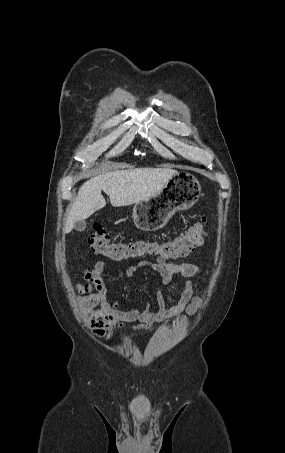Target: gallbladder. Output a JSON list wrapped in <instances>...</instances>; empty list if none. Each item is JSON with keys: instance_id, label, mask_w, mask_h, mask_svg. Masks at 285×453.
<instances>
[{"instance_id": "1", "label": "gallbladder", "mask_w": 285, "mask_h": 453, "mask_svg": "<svg viewBox=\"0 0 285 453\" xmlns=\"http://www.w3.org/2000/svg\"><path fill=\"white\" fill-rule=\"evenodd\" d=\"M85 228H86V221L85 220L76 221L74 223V229L76 231H83V230H85Z\"/></svg>"}]
</instances>
